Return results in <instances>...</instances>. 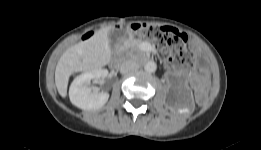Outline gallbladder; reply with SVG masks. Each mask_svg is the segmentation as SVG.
<instances>
[{"mask_svg": "<svg viewBox=\"0 0 261 150\" xmlns=\"http://www.w3.org/2000/svg\"><path fill=\"white\" fill-rule=\"evenodd\" d=\"M121 35L122 33L117 30H112L109 32L108 38L112 49H114V46L120 41Z\"/></svg>", "mask_w": 261, "mask_h": 150, "instance_id": "bac80fb5", "label": "gallbladder"}]
</instances>
